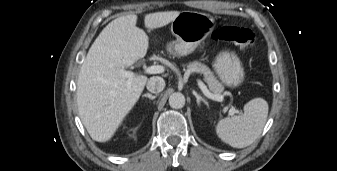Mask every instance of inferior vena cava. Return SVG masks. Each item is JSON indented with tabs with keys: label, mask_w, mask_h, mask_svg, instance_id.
Wrapping results in <instances>:
<instances>
[{
	"label": "inferior vena cava",
	"mask_w": 337,
	"mask_h": 171,
	"mask_svg": "<svg viewBox=\"0 0 337 171\" xmlns=\"http://www.w3.org/2000/svg\"><path fill=\"white\" fill-rule=\"evenodd\" d=\"M165 88V81L158 76L151 77L147 82V89L152 93H160Z\"/></svg>",
	"instance_id": "1"
}]
</instances>
